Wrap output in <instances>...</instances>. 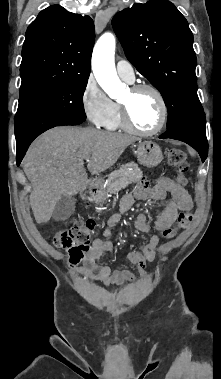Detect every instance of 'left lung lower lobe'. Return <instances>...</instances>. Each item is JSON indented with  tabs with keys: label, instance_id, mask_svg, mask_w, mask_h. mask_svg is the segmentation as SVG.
I'll use <instances>...</instances> for the list:
<instances>
[{
	"label": "left lung lower lobe",
	"instance_id": "obj_1",
	"mask_svg": "<svg viewBox=\"0 0 221 379\" xmlns=\"http://www.w3.org/2000/svg\"><path fill=\"white\" fill-rule=\"evenodd\" d=\"M159 138H172L186 142L192 146L201 156L202 162L205 161L208 155V143L206 135H201L195 131L188 129H176L166 131Z\"/></svg>",
	"mask_w": 221,
	"mask_h": 379
}]
</instances>
